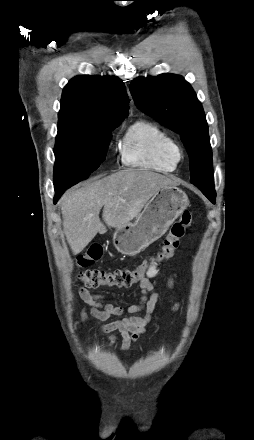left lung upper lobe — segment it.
Instances as JSON below:
<instances>
[{
    "label": "left lung upper lobe",
    "mask_w": 254,
    "mask_h": 440,
    "mask_svg": "<svg viewBox=\"0 0 254 440\" xmlns=\"http://www.w3.org/2000/svg\"><path fill=\"white\" fill-rule=\"evenodd\" d=\"M135 104L180 135L190 161L191 183L215 203L212 150L201 103L180 75L138 77L130 84Z\"/></svg>",
    "instance_id": "left-lung-upper-lobe-1"
}]
</instances>
